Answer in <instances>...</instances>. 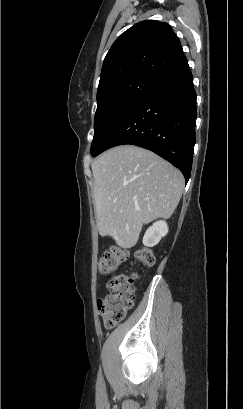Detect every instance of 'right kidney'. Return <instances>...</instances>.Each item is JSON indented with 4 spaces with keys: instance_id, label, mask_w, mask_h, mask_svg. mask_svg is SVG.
Masks as SVG:
<instances>
[{
    "instance_id": "right-kidney-1",
    "label": "right kidney",
    "mask_w": 243,
    "mask_h": 409,
    "mask_svg": "<svg viewBox=\"0 0 243 409\" xmlns=\"http://www.w3.org/2000/svg\"><path fill=\"white\" fill-rule=\"evenodd\" d=\"M167 233V223L165 221H157L145 232L143 244L147 247H153L157 245Z\"/></svg>"
}]
</instances>
